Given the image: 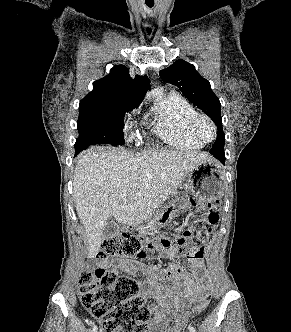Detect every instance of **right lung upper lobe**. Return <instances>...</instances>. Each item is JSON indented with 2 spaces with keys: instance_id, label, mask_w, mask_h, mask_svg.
Listing matches in <instances>:
<instances>
[{
  "instance_id": "right-lung-upper-lobe-1",
  "label": "right lung upper lobe",
  "mask_w": 291,
  "mask_h": 332,
  "mask_svg": "<svg viewBox=\"0 0 291 332\" xmlns=\"http://www.w3.org/2000/svg\"><path fill=\"white\" fill-rule=\"evenodd\" d=\"M150 88L146 76H136L132 79L129 70L124 65L114 66L110 74L93 82V90L84 99H127L142 101Z\"/></svg>"
}]
</instances>
